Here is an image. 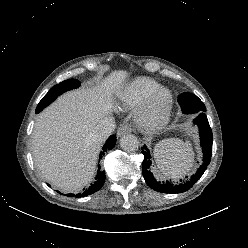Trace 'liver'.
<instances>
[{"mask_svg": "<svg viewBox=\"0 0 248 248\" xmlns=\"http://www.w3.org/2000/svg\"><path fill=\"white\" fill-rule=\"evenodd\" d=\"M126 77L125 71H115L94 87L65 93L38 115L33 157L54 187L76 192L92 180L102 145L92 133L110 116L113 93L121 90Z\"/></svg>", "mask_w": 248, "mask_h": 248, "instance_id": "liver-1", "label": "liver"}]
</instances>
